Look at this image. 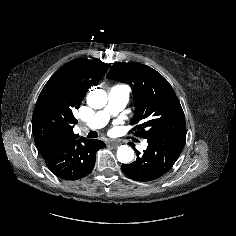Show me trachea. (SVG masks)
<instances>
[{"label":"trachea","instance_id":"obj_1","mask_svg":"<svg viewBox=\"0 0 236 236\" xmlns=\"http://www.w3.org/2000/svg\"><path fill=\"white\" fill-rule=\"evenodd\" d=\"M88 137L89 138H95V137H97V133L95 131H90L89 134H88Z\"/></svg>","mask_w":236,"mask_h":236}]
</instances>
